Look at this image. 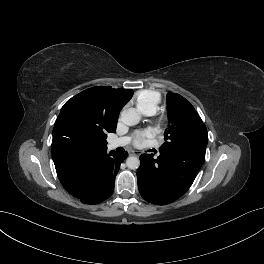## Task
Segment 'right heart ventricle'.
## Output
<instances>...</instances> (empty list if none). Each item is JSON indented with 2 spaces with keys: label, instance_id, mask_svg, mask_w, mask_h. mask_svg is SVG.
<instances>
[{
  "label": "right heart ventricle",
  "instance_id": "right-heart-ventricle-1",
  "mask_svg": "<svg viewBox=\"0 0 264 264\" xmlns=\"http://www.w3.org/2000/svg\"><path fill=\"white\" fill-rule=\"evenodd\" d=\"M161 101V94L156 90L145 89L138 91L134 97V102L138 109L142 112L154 113Z\"/></svg>",
  "mask_w": 264,
  "mask_h": 264
}]
</instances>
